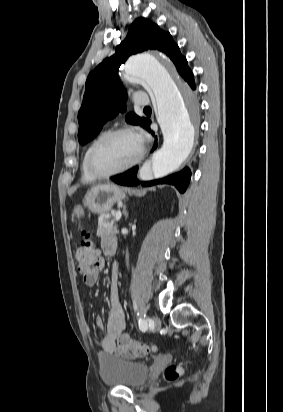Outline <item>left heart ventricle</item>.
I'll use <instances>...</instances> for the list:
<instances>
[{"mask_svg":"<svg viewBox=\"0 0 283 412\" xmlns=\"http://www.w3.org/2000/svg\"><path fill=\"white\" fill-rule=\"evenodd\" d=\"M140 143L135 135L120 134L105 142L95 153L94 167L102 173L130 163L138 154Z\"/></svg>","mask_w":283,"mask_h":412,"instance_id":"left-heart-ventricle-1","label":"left heart ventricle"}]
</instances>
